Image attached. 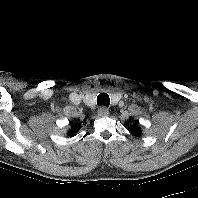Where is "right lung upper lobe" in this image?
Masks as SVG:
<instances>
[{
	"label": "right lung upper lobe",
	"instance_id": "1",
	"mask_svg": "<svg viewBox=\"0 0 198 198\" xmlns=\"http://www.w3.org/2000/svg\"><path fill=\"white\" fill-rule=\"evenodd\" d=\"M80 129V126L78 124L72 125L71 130L68 132V136L75 135V132H77Z\"/></svg>",
	"mask_w": 198,
	"mask_h": 198
}]
</instances>
